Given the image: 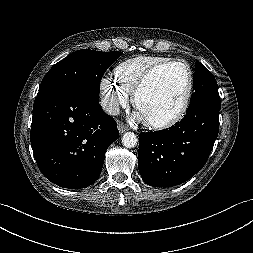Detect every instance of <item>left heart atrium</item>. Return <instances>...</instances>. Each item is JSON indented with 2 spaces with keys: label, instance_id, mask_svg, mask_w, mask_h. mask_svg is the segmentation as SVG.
<instances>
[{
  "label": "left heart atrium",
  "instance_id": "39dd6f15",
  "mask_svg": "<svg viewBox=\"0 0 253 253\" xmlns=\"http://www.w3.org/2000/svg\"><path fill=\"white\" fill-rule=\"evenodd\" d=\"M131 118H132L133 120H136V121H143V120H144L143 116L141 115V113H140L138 110H136V111L131 115Z\"/></svg>",
  "mask_w": 253,
  "mask_h": 253
}]
</instances>
